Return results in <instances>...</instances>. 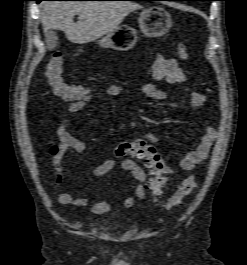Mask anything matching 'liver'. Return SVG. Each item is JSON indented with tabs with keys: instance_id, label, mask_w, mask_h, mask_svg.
<instances>
[{
	"instance_id": "obj_1",
	"label": "liver",
	"mask_w": 247,
	"mask_h": 265,
	"mask_svg": "<svg viewBox=\"0 0 247 265\" xmlns=\"http://www.w3.org/2000/svg\"><path fill=\"white\" fill-rule=\"evenodd\" d=\"M41 8L44 32L61 30L70 42L84 44L112 32L141 6L130 1H47ZM75 15H79L77 23Z\"/></svg>"
}]
</instances>
